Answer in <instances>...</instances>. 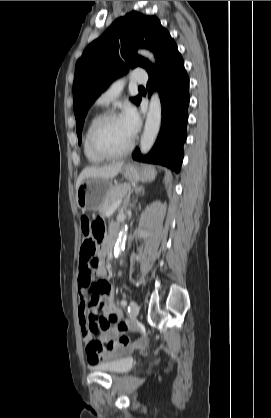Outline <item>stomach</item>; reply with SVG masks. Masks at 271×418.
Returning <instances> with one entry per match:
<instances>
[{
	"instance_id": "stomach-1",
	"label": "stomach",
	"mask_w": 271,
	"mask_h": 418,
	"mask_svg": "<svg viewBox=\"0 0 271 418\" xmlns=\"http://www.w3.org/2000/svg\"><path fill=\"white\" fill-rule=\"evenodd\" d=\"M122 175L131 182L150 181L156 172L152 166L138 168L133 164H125L121 168ZM112 183L103 178H87L82 181L76 192V203L82 211H97L100 209Z\"/></svg>"
}]
</instances>
